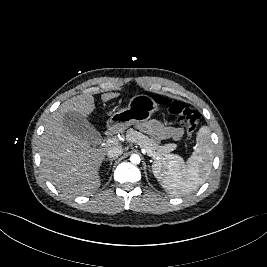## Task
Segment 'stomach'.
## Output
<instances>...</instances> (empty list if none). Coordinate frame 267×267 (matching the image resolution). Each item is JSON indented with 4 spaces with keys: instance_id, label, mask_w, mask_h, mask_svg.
Listing matches in <instances>:
<instances>
[{
    "instance_id": "0dacf381",
    "label": "stomach",
    "mask_w": 267,
    "mask_h": 267,
    "mask_svg": "<svg viewBox=\"0 0 267 267\" xmlns=\"http://www.w3.org/2000/svg\"><path fill=\"white\" fill-rule=\"evenodd\" d=\"M159 109V105L150 96L139 94L133 96L126 108L114 113L107 122L112 130H125L131 125L146 121Z\"/></svg>"
}]
</instances>
